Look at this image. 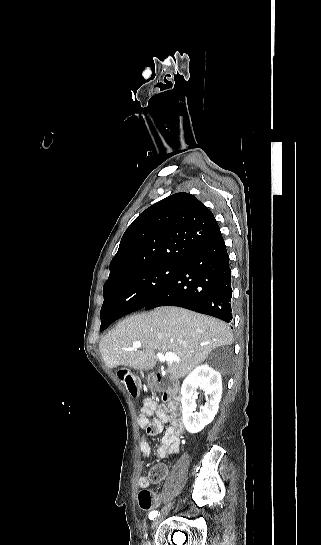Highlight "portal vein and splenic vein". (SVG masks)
Instances as JSON below:
<instances>
[{
    "label": "portal vein and splenic vein",
    "mask_w": 321,
    "mask_h": 545,
    "mask_svg": "<svg viewBox=\"0 0 321 545\" xmlns=\"http://www.w3.org/2000/svg\"><path fill=\"white\" fill-rule=\"evenodd\" d=\"M140 347H142V343H140V341H134V343H132V349H125V351H136V349H140ZM156 357L159 361H162V363H166V361L167 363H173V361H175V363H180L179 357L174 355V353H165V355H163V353H157Z\"/></svg>",
    "instance_id": "obj_1"
}]
</instances>
